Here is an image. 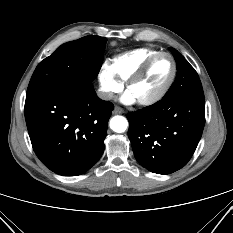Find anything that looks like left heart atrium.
Here are the masks:
<instances>
[{"instance_id": "39dd6f15", "label": "left heart atrium", "mask_w": 233, "mask_h": 233, "mask_svg": "<svg viewBox=\"0 0 233 233\" xmlns=\"http://www.w3.org/2000/svg\"><path fill=\"white\" fill-rule=\"evenodd\" d=\"M121 101L125 104H132V103L136 102V98L134 97V95L130 91L127 90L123 94Z\"/></svg>"}]
</instances>
